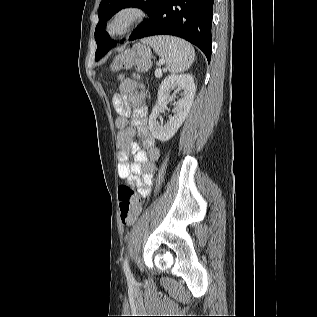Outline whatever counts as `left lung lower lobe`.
Wrapping results in <instances>:
<instances>
[{
  "mask_svg": "<svg viewBox=\"0 0 317 317\" xmlns=\"http://www.w3.org/2000/svg\"><path fill=\"white\" fill-rule=\"evenodd\" d=\"M213 3L214 0H162L154 17L135 39L153 35L181 37L199 47L210 62ZM115 44H105L100 58Z\"/></svg>",
  "mask_w": 317,
  "mask_h": 317,
  "instance_id": "left-lung-lower-lobe-1",
  "label": "left lung lower lobe"
}]
</instances>
